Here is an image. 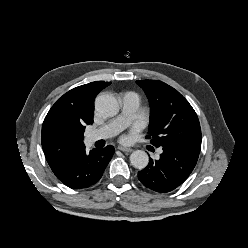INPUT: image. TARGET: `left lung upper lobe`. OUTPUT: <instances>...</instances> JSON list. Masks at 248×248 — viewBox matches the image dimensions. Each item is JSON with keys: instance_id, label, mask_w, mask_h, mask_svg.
Wrapping results in <instances>:
<instances>
[{"instance_id": "5c2ea615", "label": "left lung upper lobe", "mask_w": 248, "mask_h": 248, "mask_svg": "<svg viewBox=\"0 0 248 248\" xmlns=\"http://www.w3.org/2000/svg\"><path fill=\"white\" fill-rule=\"evenodd\" d=\"M136 82L145 91L151 108L148 129L152 136L151 144L199 155L201 128L197 114L189 102L164 82Z\"/></svg>"}]
</instances>
